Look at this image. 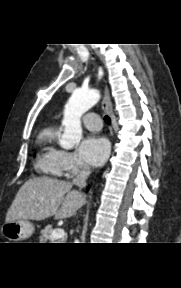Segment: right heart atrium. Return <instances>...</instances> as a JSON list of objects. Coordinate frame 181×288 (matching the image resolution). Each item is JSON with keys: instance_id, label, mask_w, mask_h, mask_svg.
Instances as JSON below:
<instances>
[{"instance_id": "1", "label": "right heart atrium", "mask_w": 181, "mask_h": 288, "mask_svg": "<svg viewBox=\"0 0 181 288\" xmlns=\"http://www.w3.org/2000/svg\"><path fill=\"white\" fill-rule=\"evenodd\" d=\"M85 167L75 154L68 151L59 153V169L56 175L60 177H72L84 172Z\"/></svg>"}]
</instances>
